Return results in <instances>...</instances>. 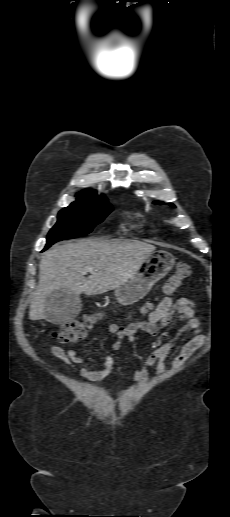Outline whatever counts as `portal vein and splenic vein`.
Here are the masks:
<instances>
[{
  "label": "portal vein and splenic vein",
  "instance_id": "18ae733b",
  "mask_svg": "<svg viewBox=\"0 0 230 517\" xmlns=\"http://www.w3.org/2000/svg\"><path fill=\"white\" fill-rule=\"evenodd\" d=\"M91 270H92L91 268H89V267H85V268L83 269V272H90Z\"/></svg>",
  "mask_w": 230,
  "mask_h": 517
}]
</instances>
